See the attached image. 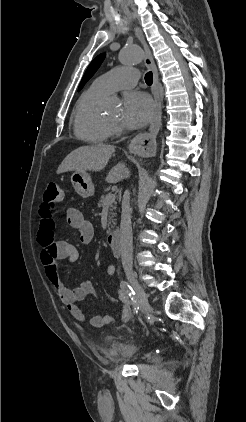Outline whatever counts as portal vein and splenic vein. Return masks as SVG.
<instances>
[{"label":"portal vein and splenic vein","instance_id":"1","mask_svg":"<svg viewBox=\"0 0 246 422\" xmlns=\"http://www.w3.org/2000/svg\"><path fill=\"white\" fill-rule=\"evenodd\" d=\"M115 194H109L106 200V205H109L115 201Z\"/></svg>","mask_w":246,"mask_h":422}]
</instances>
